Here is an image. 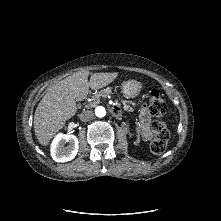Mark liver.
<instances>
[{
	"instance_id": "1",
	"label": "liver",
	"mask_w": 221,
	"mask_h": 221,
	"mask_svg": "<svg viewBox=\"0 0 221 221\" xmlns=\"http://www.w3.org/2000/svg\"><path fill=\"white\" fill-rule=\"evenodd\" d=\"M88 70L78 71L63 79L45 94L34 115L36 138L43 146L65 126L77 112L76 101L84 100L89 88L97 90L112 83L118 73H94L88 81Z\"/></svg>"
}]
</instances>
